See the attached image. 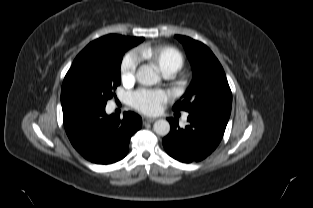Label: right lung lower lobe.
I'll list each match as a JSON object with an SVG mask.
<instances>
[{"mask_svg": "<svg viewBox=\"0 0 313 208\" xmlns=\"http://www.w3.org/2000/svg\"><path fill=\"white\" fill-rule=\"evenodd\" d=\"M66 133L74 148L87 160L110 164L123 159L131 136L142 126V119L125 112L123 119L107 115L105 105L80 95L61 96Z\"/></svg>", "mask_w": 313, "mask_h": 208, "instance_id": "obj_1", "label": "right lung lower lobe"}]
</instances>
